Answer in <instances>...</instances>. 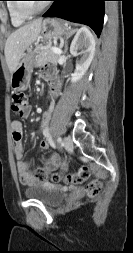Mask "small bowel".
Returning a JSON list of instances; mask_svg holds the SVG:
<instances>
[{
  "label": "small bowel",
  "instance_id": "1",
  "mask_svg": "<svg viewBox=\"0 0 133 253\" xmlns=\"http://www.w3.org/2000/svg\"><path fill=\"white\" fill-rule=\"evenodd\" d=\"M41 76L45 80L49 81L51 83V91L50 95L52 98H55L59 94L60 90V84L54 79L53 74L47 69L42 68L41 69ZM31 114V107L27 106L24 110V112L21 114L23 118L29 117ZM51 120V112L46 111L43 115V121H42V134L44 136V139L40 142V150H47L52 146L51 143V136L49 133V124ZM11 129H12V137H13V145H14V154L17 161V172L19 176V180L24 185H34L39 183L42 179L39 178L37 173H34L29 166V163L24 160V147L22 143V135H23V125L21 121L14 120L11 123ZM60 169L62 171H65L67 169L66 162L62 159V157L58 154H51L44 167V173L47 176L50 172Z\"/></svg>",
  "mask_w": 133,
  "mask_h": 253
}]
</instances>
